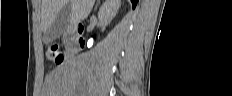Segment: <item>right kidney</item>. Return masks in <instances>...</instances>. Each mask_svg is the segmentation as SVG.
<instances>
[{
    "label": "right kidney",
    "mask_w": 232,
    "mask_h": 96,
    "mask_svg": "<svg viewBox=\"0 0 232 96\" xmlns=\"http://www.w3.org/2000/svg\"><path fill=\"white\" fill-rule=\"evenodd\" d=\"M120 7V0H106L101 6L98 19L103 25H108L117 14Z\"/></svg>",
    "instance_id": "obj_1"
}]
</instances>
